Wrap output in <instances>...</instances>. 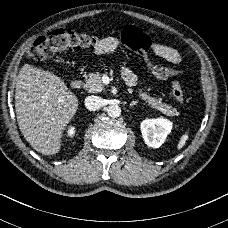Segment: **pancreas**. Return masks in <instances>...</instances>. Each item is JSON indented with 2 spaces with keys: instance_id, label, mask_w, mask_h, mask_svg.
I'll list each match as a JSON object with an SVG mask.
<instances>
[{
  "instance_id": "cf45deb5",
  "label": "pancreas",
  "mask_w": 228,
  "mask_h": 228,
  "mask_svg": "<svg viewBox=\"0 0 228 228\" xmlns=\"http://www.w3.org/2000/svg\"><path fill=\"white\" fill-rule=\"evenodd\" d=\"M84 89L87 90L89 93H98L104 90V85L101 80L100 73H90L88 77L85 79ZM139 96L145 100L152 108H155L161 111L163 114L167 116H177L179 112L176 108L163 103L161 99H157L155 97H151L142 90L139 91Z\"/></svg>"
}]
</instances>
